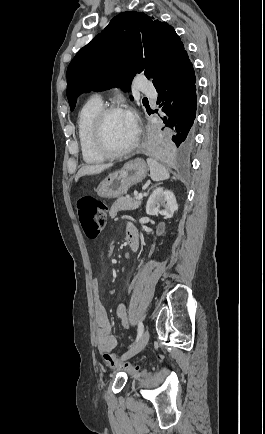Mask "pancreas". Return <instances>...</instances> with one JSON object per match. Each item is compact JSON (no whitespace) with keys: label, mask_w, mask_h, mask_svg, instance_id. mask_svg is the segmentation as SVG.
Wrapping results in <instances>:
<instances>
[{"label":"pancreas","mask_w":265,"mask_h":434,"mask_svg":"<svg viewBox=\"0 0 265 434\" xmlns=\"http://www.w3.org/2000/svg\"><path fill=\"white\" fill-rule=\"evenodd\" d=\"M142 200H133V198H117L116 202L112 204L109 212L110 218L117 216L120 210H136L139 208Z\"/></svg>","instance_id":"cf45deb5"}]
</instances>
